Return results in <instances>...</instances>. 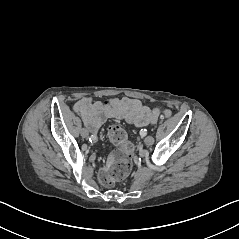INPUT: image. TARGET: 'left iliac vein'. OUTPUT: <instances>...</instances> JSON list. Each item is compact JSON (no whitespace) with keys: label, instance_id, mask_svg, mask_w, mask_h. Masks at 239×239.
I'll use <instances>...</instances> for the list:
<instances>
[{"label":"left iliac vein","instance_id":"1","mask_svg":"<svg viewBox=\"0 0 239 239\" xmlns=\"http://www.w3.org/2000/svg\"><path fill=\"white\" fill-rule=\"evenodd\" d=\"M144 142H145L146 145L150 146L154 143V138L152 136H147L144 139Z\"/></svg>","mask_w":239,"mask_h":239}]
</instances>
